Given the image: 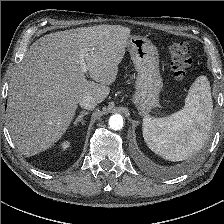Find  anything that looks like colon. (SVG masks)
Returning a JSON list of instances; mask_svg holds the SVG:
<instances>
[{
  "mask_svg": "<svg viewBox=\"0 0 224 224\" xmlns=\"http://www.w3.org/2000/svg\"><path fill=\"white\" fill-rule=\"evenodd\" d=\"M170 55V68L177 80H183L192 64L190 47L186 42L172 41L167 44Z\"/></svg>",
  "mask_w": 224,
  "mask_h": 224,
  "instance_id": "colon-1",
  "label": "colon"
}]
</instances>
